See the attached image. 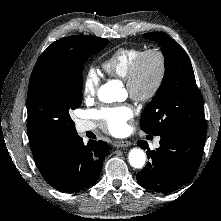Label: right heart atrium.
Segmentation results:
<instances>
[{
	"mask_svg": "<svg viewBox=\"0 0 221 221\" xmlns=\"http://www.w3.org/2000/svg\"><path fill=\"white\" fill-rule=\"evenodd\" d=\"M100 80L98 71L93 67H89L84 75L82 85L83 96L86 99H92L96 95Z\"/></svg>",
	"mask_w": 221,
	"mask_h": 221,
	"instance_id": "obj_1",
	"label": "right heart atrium"
}]
</instances>
